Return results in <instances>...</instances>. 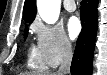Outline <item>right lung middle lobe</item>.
Wrapping results in <instances>:
<instances>
[{"label":"right lung middle lobe","instance_id":"dd1d6c3e","mask_svg":"<svg viewBox=\"0 0 107 75\" xmlns=\"http://www.w3.org/2000/svg\"><path fill=\"white\" fill-rule=\"evenodd\" d=\"M26 35H27V27H26V31H25V38H26Z\"/></svg>","mask_w":107,"mask_h":75}]
</instances>
